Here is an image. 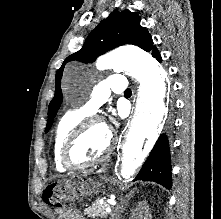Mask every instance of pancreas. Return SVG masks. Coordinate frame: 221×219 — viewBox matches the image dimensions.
Listing matches in <instances>:
<instances>
[{
    "label": "pancreas",
    "mask_w": 221,
    "mask_h": 219,
    "mask_svg": "<svg viewBox=\"0 0 221 219\" xmlns=\"http://www.w3.org/2000/svg\"><path fill=\"white\" fill-rule=\"evenodd\" d=\"M109 207V204L104 202L101 204L99 200H96L92 206L86 208L84 213L91 218H106L108 216V212L106 208Z\"/></svg>",
    "instance_id": "pancreas-1"
}]
</instances>
